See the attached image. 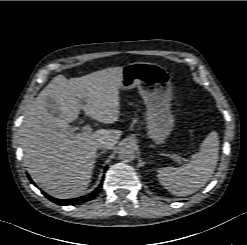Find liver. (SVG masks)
<instances>
[{"instance_id":"obj_1","label":"liver","mask_w":247,"mask_h":245,"mask_svg":"<svg viewBox=\"0 0 247 245\" xmlns=\"http://www.w3.org/2000/svg\"><path fill=\"white\" fill-rule=\"evenodd\" d=\"M122 67L99 70L79 78L54 77L39 93L24 115L20 127L23 161L33 181L47 194L70 199L90 184L103 141L111 147L122 135L119 130L99 129L76 133L69 124L80 109L104 124L118 121ZM55 101L54 115L46 107V98ZM83 99L82 105L79 99Z\"/></svg>"}]
</instances>
